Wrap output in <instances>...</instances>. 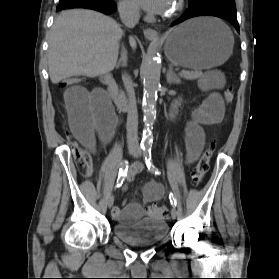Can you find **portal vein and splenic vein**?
<instances>
[{"label":"portal vein and splenic vein","instance_id":"1","mask_svg":"<svg viewBox=\"0 0 279 279\" xmlns=\"http://www.w3.org/2000/svg\"><path fill=\"white\" fill-rule=\"evenodd\" d=\"M180 75H183L184 77L190 78L193 74H199V72H188V71H182L179 73Z\"/></svg>","mask_w":279,"mask_h":279}]
</instances>
